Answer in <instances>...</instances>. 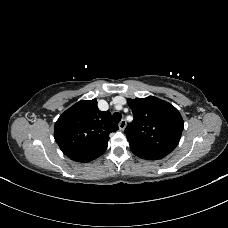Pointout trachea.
Segmentation results:
<instances>
[{"label": "trachea", "instance_id": "1", "mask_svg": "<svg viewBox=\"0 0 228 228\" xmlns=\"http://www.w3.org/2000/svg\"><path fill=\"white\" fill-rule=\"evenodd\" d=\"M112 118H113V121H114L115 123H119L120 120H121V118H122V115H121V113H119V112H115V113L113 114Z\"/></svg>", "mask_w": 228, "mask_h": 228}]
</instances>
